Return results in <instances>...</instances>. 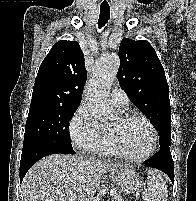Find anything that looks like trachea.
Here are the masks:
<instances>
[{"label":"trachea","mask_w":196,"mask_h":201,"mask_svg":"<svg viewBox=\"0 0 196 201\" xmlns=\"http://www.w3.org/2000/svg\"><path fill=\"white\" fill-rule=\"evenodd\" d=\"M109 18H110V7H100V15L98 20L99 29L105 26Z\"/></svg>","instance_id":"obj_1"}]
</instances>
